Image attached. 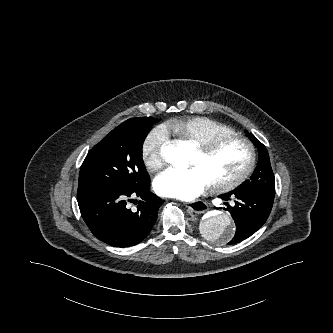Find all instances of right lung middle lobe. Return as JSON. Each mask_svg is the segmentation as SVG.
I'll use <instances>...</instances> for the list:
<instances>
[{
  "label": "right lung middle lobe",
  "instance_id": "1",
  "mask_svg": "<svg viewBox=\"0 0 333 333\" xmlns=\"http://www.w3.org/2000/svg\"><path fill=\"white\" fill-rule=\"evenodd\" d=\"M159 120L129 119L107 134L87 154L79 173L78 189L92 185L137 187L149 178L142 160L143 142Z\"/></svg>",
  "mask_w": 333,
  "mask_h": 333
}]
</instances>
